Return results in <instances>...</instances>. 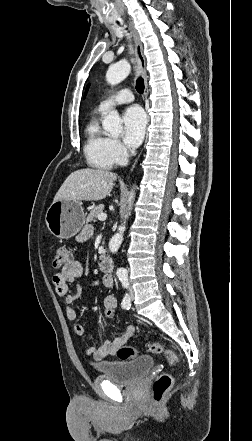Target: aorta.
Returning <instances> with one entry per match:
<instances>
[{
    "mask_svg": "<svg viewBox=\"0 0 252 441\" xmlns=\"http://www.w3.org/2000/svg\"><path fill=\"white\" fill-rule=\"evenodd\" d=\"M131 66L126 61H120L118 63H115L111 65L106 73V80L111 85H117L118 83L122 82L130 73ZM103 128L104 130L111 135L112 137L119 136L122 131L123 127L119 118V114L117 111L113 110L111 111L107 116H105L103 120ZM135 198V192L132 190L130 192L129 198H128V212L125 215V220L119 227V232L116 233L109 242V249L112 253H116L122 243L123 240V233L126 229V219L130 216L131 207L133 204ZM117 275L118 276H126L127 271L125 268H118L117 269Z\"/></svg>",
    "mask_w": 252,
    "mask_h": 441,
    "instance_id": "aorta-1",
    "label": "aorta"
}]
</instances>
